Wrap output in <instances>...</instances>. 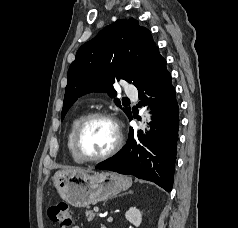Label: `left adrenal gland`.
Instances as JSON below:
<instances>
[{"instance_id": "obj_1", "label": "left adrenal gland", "mask_w": 238, "mask_h": 228, "mask_svg": "<svg viewBox=\"0 0 238 228\" xmlns=\"http://www.w3.org/2000/svg\"><path fill=\"white\" fill-rule=\"evenodd\" d=\"M127 193L132 194L133 192H132V191H129V192H127Z\"/></svg>"}]
</instances>
